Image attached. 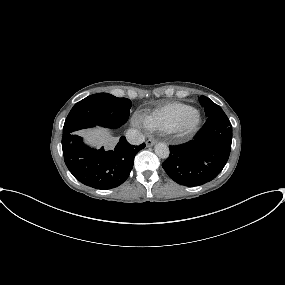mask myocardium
Wrapping results in <instances>:
<instances>
[{
  "mask_svg": "<svg viewBox=\"0 0 285 285\" xmlns=\"http://www.w3.org/2000/svg\"><path fill=\"white\" fill-rule=\"evenodd\" d=\"M200 119L199 111L192 109L181 119L175 132L179 135H187L194 132L200 124Z\"/></svg>",
  "mask_w": 285,
  "mask_h": 285,
  "instance_id": "f54148a6",
  "label": "myocardium"
}]
</instances>
